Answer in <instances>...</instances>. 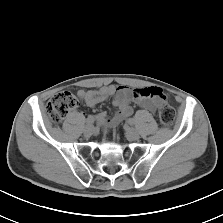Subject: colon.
I'll return each instance as SVG.
<instances>
[{
	"label": "colon",
	"instance_id": "5ec220e1",
	"mask_svg": "<svg viewBox=\"0 0 223 223\" xmlns=\"http://www.w3.org/2000/svg\"><path fill=\"white\" fill-rule=\"evenodd\" d=\"M154 93H157V91H154ZM78 105L79 102L72 93L61 91L48 101L46 112L53 122L60 123ZM158 119L162 125L171 126L176 119L175 110L168 103L162 102L158 111Z\"/></svg>",
	"mask_w": 223,
	"mask_h": 223
}]
</instances>
